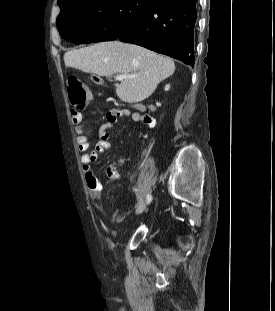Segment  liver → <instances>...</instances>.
Segmentation results:
<instances>
[{
	"mask_svg": "<svg viewBox=\"0 0 275 311\" xmlns=\"http://www.w3.org/2000/svg\"><path fill=\"white\" fill-rule=\"evenodd\" d=\"M66 67L102 77L125 75L116 88L118 97L128 103L148 98L159 82L175 71L174 62L138 45L119 41L101 42L64 55Z\"/></svg>",
	"mask_w": 275,
	"mask_h": 311,
	"instance_id": "6515ba94",
	"label": "liver"
}]
</instances>
